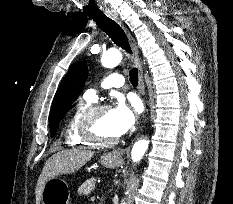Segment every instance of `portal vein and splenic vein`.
<instances>
[{
    "instance_id": "1",
    "label": "portal vein and splenic vein",
    "mask_w": 233,
    "mask_h": 204,
    "mask_svg": "<svg viewBox=\"0 0 233 204\" xmlns=\"http://www.w3.org/2000/svg\"><path fill=\"white\" fill-rule=\"evenodd\" d=\"M91 200L94 201V200H95V196H92V197H91Z\"/></svg>"
}]
</instances>
